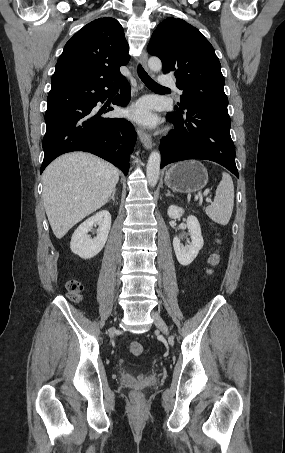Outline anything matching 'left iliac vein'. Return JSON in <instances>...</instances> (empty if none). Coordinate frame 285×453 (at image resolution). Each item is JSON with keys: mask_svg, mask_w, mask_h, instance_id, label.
<instances>
[{"mask_svg": "<svg viewBox=\"0 0 285 453\" xmlns=\"http://www.w3.org/2000/svg\"><path fill=\"white\" fill-rule=\"evenodd\" d=\"M152 317L154 319V323L156 325V327L165 335H168L169 334V330H168V327L166 325V323L164 322V320L161 318V316L159 315V313L157 312H152Z\"/></svg>", "mask_w": 285, "mask_h": 453, "instance_id": "obj_1", "label": "left iliac vein"}]
</instances>
